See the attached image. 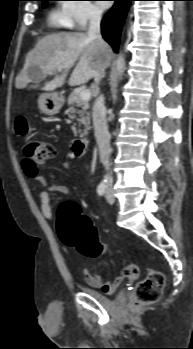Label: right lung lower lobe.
Here are the masks:
<instances>
[{
  "mask_svg": "<svg viewBox=\"0 0 193 349\" xmlns=\"http://www.w3.org/2000/svg\"><path fill=\"white\" fill-rule=\"evenodd\" d=\"M115 4L106 14L101 23L102 35L104 39L118 51L119 36L122 25L130 4L133 0H114Z\"/></svg>",
  "mask_w": 193,
  "mask_h": 349,
  "instance_id": "obj_1",
  "label": "right lung lower lobe"
}]
</instances>
